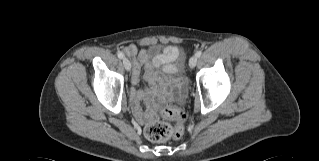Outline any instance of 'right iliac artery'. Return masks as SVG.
<instances>
[{
	"label": "right iliac artery",
	"instance_id": "obj_1",
	"mask_svg": "<svg viewBox=\"0 0 319 161\" xmlns=\"http://www.w3.org/2000/svg\"><path fill=\"white\" fill-rule=\"evenodd\" d=\"M118 58L123 59L125 56L122 52L117 53Z\"/></svg>",
	"mask_w": 319,
	"mask_h": 161
}]
</instances>
